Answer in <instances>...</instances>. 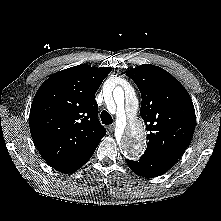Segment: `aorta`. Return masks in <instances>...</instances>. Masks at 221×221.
<instances>
[{
	"mask_svg": "<svg viewBox=\"0 0 221 221\" xmlns=\"http://www.w3.org/2000/svg\"><path fill=\"white\" fill-rule=\"evenodd\" d=\"M112 97L116 105L117 120L121 128H125L120 139L121 149L125 155L138 158L146 146V130L144 122L136 117L139 106L136 93L130 84L122 82L114 87ZM109 101L110 97L106 95V103Z\"/></svg>",
	"mask_w": 221,
	"mask_h": 221,
	"instance_id": "762f6f07",
	"label": "aorta"
}]
</instances>
